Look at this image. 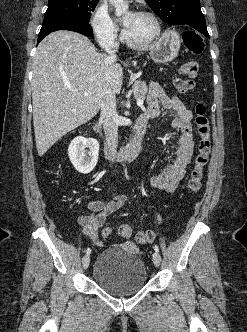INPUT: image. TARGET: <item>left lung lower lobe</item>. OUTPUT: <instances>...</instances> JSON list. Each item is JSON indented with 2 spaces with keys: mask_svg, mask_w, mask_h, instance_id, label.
I'll use <instances>...</instances> for the list:
<instances>
[{
  "mask_svg": "<svg viewBox=\"0 0 247 332\" xmlns=\"http://www.w3.org/2000/svg\"><path fill=\"white\" fill-rule=\"evenodd\" d=\"M197 31H199L200 33H202L204 36H206L207 38L209 37L207 28H206V24H201L197 27Z\"/></svg>",
  "mask_w": 247,
  "mask_h": 332,
  "instance_id": "0a47b994",
  "label": "left lung lower lobe"
}]
</instances>
